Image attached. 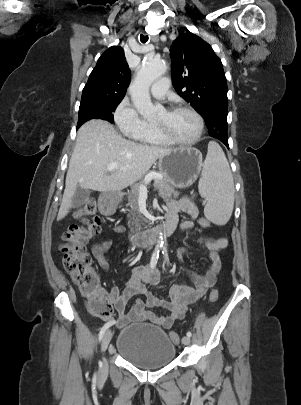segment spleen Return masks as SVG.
Wrapping results in <instances>:
<instances>
[{
	"label": "spleen",
	"instance_id": "1",
	"mask_svg": "<svg viewBox=\"0 0 301 405\" xmlns=\"http://www.w3.org/2000/svg\"><path fill=\"white\" fill-rule=\"evenodd\" d=\"M199 190L207 200L206 217L218 225H225L234 207V181L227 158L214 141L208 144Z\"/></svg>",
	"mask_w": 301,
	"mask_h": 405
}]
</instances>
